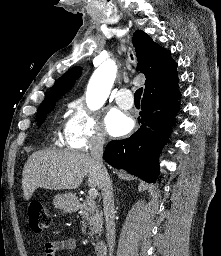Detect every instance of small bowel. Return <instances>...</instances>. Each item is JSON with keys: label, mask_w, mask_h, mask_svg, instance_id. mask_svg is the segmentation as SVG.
Here are the masks:
<instances>
[{"label": "small bowel", "mask_w": 221, "mask_h": 256, "mask_svg": "<svg viewBox=\"0 0 221 256\" xmlns=\"http://www.w3.org/2000/svg\"><path fill=\"white\" fill-rule=\"evenodd\" d=\"M76 247L77 241L74 238L48 241L44 245L43 256H55L58 251H73Z\"/></svg>", "instance_id": "1"}]
</instances>
